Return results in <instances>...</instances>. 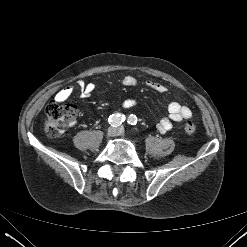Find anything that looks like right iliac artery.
<instances>
[{"mask_svg":"<svg viewBox=\"0 0 247 247\" xmlns=\"http://www.w3.org/2000/svg\"><path fill=\"white\" fill-rule=\"evenodd\" d=\"M109 123L113 127H118L125 121V115L123 114H113L108 119Z\"/></svg>","mask_w":247,"mask_h":247,"instance_id":"1","label":"right iliac artery"}]
</instances>
